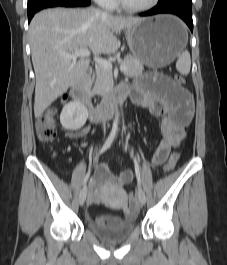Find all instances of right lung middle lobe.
<instances>
[{
	"mask_svg": "<svg viewBox=\"0 0 227 265\" xmlns=\"http://www.w3.org/2000/svg\"><path fill=\"white\" fill-rule=\"evenodd\" d=\"M40 0H28V7H31L37 4Z\"/></svg>",
	"mask_w": 227,
	"mask_h": 265,
	"instance_id": "obj_1",
	"label": "right lung middle lobe"
}]
</instances>
